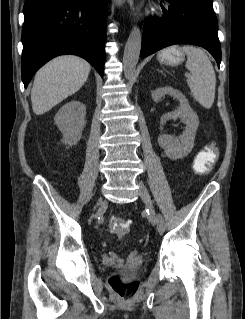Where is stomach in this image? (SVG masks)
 Listing matches in <instances>:
<instances>
[{"mask_svg": "<svg viewBox=\"0 0 245 319\" xmlns=\"http://www.w3.org/2000/svg\"><path fill=\"white\" fill-rule=\"evenodd\" d=\"M158 60L163 64L175 66L184 60V55L177 46H172L159 52Z\"/></svg>", "mask_w": 245, "mask_h": 319, "instance_id": "obj_1", "label": "stomach"}]
</instances>
